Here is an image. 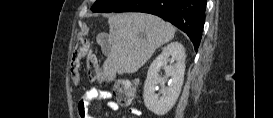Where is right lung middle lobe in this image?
Wrapping results in <instances>:
<instances>
[{"instance_id":"obj_1","label":"right lung middle lobe","mask_w":273,"mask_h":118,"mask_svg":"<svg viewBox=\"0 0 273 118\" xmlns=\"http://www.w3.org/2000/svg\"><path fill=\"white\" fill-rule=\"evenodd\" d=\"M125 2H127V0H96L91 10L93 12H115Z\"/></svg>"}]
</instances>
